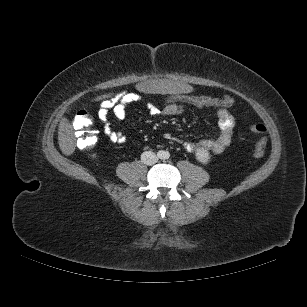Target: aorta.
<instances>
[{
    "label": "aorta",
    "mask_w": 307,
    "mask_h": 307,
    "mask_svg": "<svg viewBox=\"0 0 307 307\" xmlns=\"http://www.w3.org/2000/svg\"><path fill=\"white\" fill-rule=\"evenodd\" d=\"M168 156H167V152H165V151H163V152H161L160 153V158H167Z\"/></svg>",
    "instance_id": "obj_1"
}]
</instances>
